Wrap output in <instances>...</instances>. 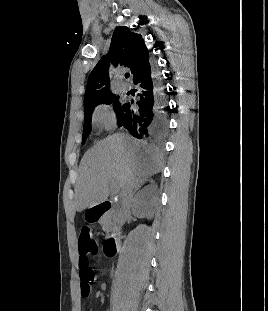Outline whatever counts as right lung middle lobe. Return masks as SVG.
<instances>
[{
    "label": "right lung middle lobe",
    "instance_id": "right-lung-middle-lobe-1",
    "mask_svg": "<svg viewBox=\"0 0 268 311\" xmlns=\"http://www.w3.org/2000/svg\"><path fill=\"white\" fill-rule=\"evenodd\" d=\"M99 104H113V108H114L117 116H118V113H119V111L123 105L119 100V96H116L115 94L110 95L107 98L101 100L95 106H97ZM95 106H93L88 111L84 112V128H83V139H82L83 143L85 142L86 137L91 132V117H92V112H93Z\"/></svg>",
    "mask_w": 268,
    "mask_h": 311
}]
</instances>
